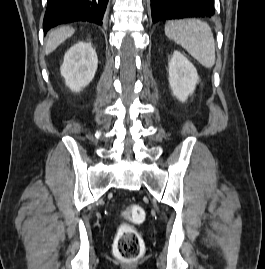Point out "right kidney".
<instances>
[{"instance_id": "ca27d5eb", "label": "right kidney", "mask_w": 265, "mask_h": 269, "mask_svg": "<svg viewBox=\"0 0 265 269\" xmlns=\"http://www.w3.org/2000/svg\"><path fill=\"white\" fill-rule=\"evenodd\" d=\"M97 66V54L91 43L80 41L66 52L60 72L71 91L79 92L93 80Z\"/></svg>"}]
</instances>
